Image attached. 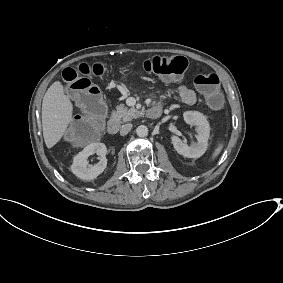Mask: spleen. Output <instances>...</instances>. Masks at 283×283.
I'll use <instances>...</instances> for the list:
<instances>
[{"mask_svg": "<svg viewBox=\"0 0 283 283\" xmlns=\"http://www.w3.org/2000/svg\"><path fill=\"white\" fill-rule=\"evenodd\" d=\"M222 148H223V144H219V146L215 149V151L212 155L213 159L221 152Z\"/></svg>", "mask_w": 283, "mask_h": 283, "instance_id": "spleen-1", "label": "spleen"}]
</instances>
